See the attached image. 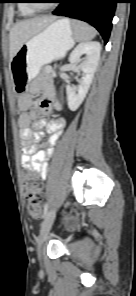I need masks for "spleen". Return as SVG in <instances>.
I'll list each match as a JSON object with an SVG mask.
<instances>
[{
    "label": "spleen",
    "mask_w": 136,
    "mask_h": 296,
    "mask_svg": "<svg viewBox=\"0 0 136 296\" xmlns=\"http://www.w3.org/2000/svg\"><path fill=\"white\" fill-rule=\"evenodd\" d=\"M71 25L73 28L74 37L77 41L90 40L96 35V30L87 23L78 20H72Z\"/></svg>",
    "instance_id": "spleen-1"
}]
</instances>
